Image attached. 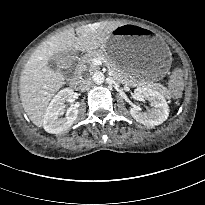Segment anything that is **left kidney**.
Wrapping results in <instances>:
<instances>
[{
    "label": "left kidney",
    "instance_id": "1",
    "mask_svg": "<svg viewBox=\"0 0 205 205\" xmlns=\"http://www.w3.org/2000/svg\"><path fill=\"white\" fill-rule=\"evenodd\" d=\"M134 97L139 101L147 100L153 107L147 112L141 111L137 106L130 108V113L137 122L153 127L167 120L169 107L164 96L158 91L147 87H138L134 91Z\"/></svg>",
    "mask_w": 205,
    "mask_h": 205
}]
</instances>
